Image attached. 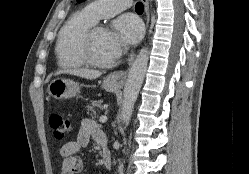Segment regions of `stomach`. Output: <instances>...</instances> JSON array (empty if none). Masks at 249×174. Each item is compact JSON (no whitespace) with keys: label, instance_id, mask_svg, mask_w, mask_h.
<instances>
[{"label":"stomach","instance_id":"obj_1","mask_svg":"<svg viewBox=\"0 0 249 174\" xmlns=\"http://www.w3.org/2000/svg\"><path fill=\"white\" fill-rule=\"evenodd\" d=\"M102 87L109 92H116L120 89V85L115 83L111 77L104 79ZM48 92L55 99L71 98L80 92V85L70 79L57 78L49 84Z\"/></svg>","mask_w":249,"mask_h":174}]
</instances>
